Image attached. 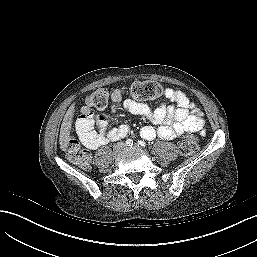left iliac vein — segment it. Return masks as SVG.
<instances>
[{
	"mask_svg": "<svg viewBox=\"0 0 257 257\" xmlns=\"http://www.w3.org/2000/svg\"><path fill=\"white\" fill-rule=\"evenodd\" d=\"M137 145H134L133 147L129 148V149H136Z\"/></svg>",
	"mask_w": 257,
	"mask_h": 257,
	"instance_id": "obj_1",
	"label": "left iliac vein"
}]
</instances>
